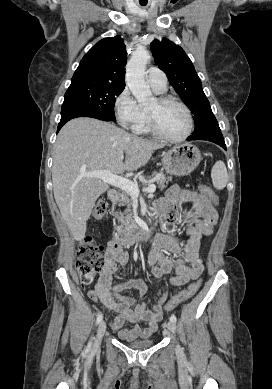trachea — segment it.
I'll list each match as a JSON object with an SVG mask.
<instances>
[{
    "label": "trachea",
    "instance_id": "3493384b",
    "mask_svg": "<svg viewBox=\"0 0 272 389\" xmlns=\"http://www.w3.org/2000/svg\"><path fill=\"white\" fill-rule=\"evenodd\" d=\"M141 6H146V4H141Z\"/></svg>",
    "mask_w": 272,
    "mask_h": 389
}]
</instances>
